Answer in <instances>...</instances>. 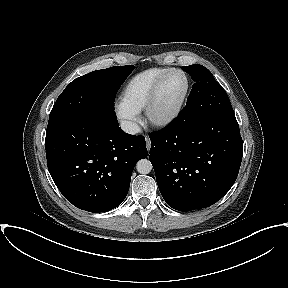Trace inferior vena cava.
I'll use <instances>...</instances> for the list:
<instances>
[{"label": "inferior vena cava", "mask_w": 288, "mask_h": 288, "mask_svg": "<svg viewBox=\"0 0 288 288\" xmlns=\"http://www.w3.org/2000/svg\"><path fill=\"white\" fill-rule=\"evenodd\" d=\"M120 127L122 128V130L130 134H137L138 132H140V127L138 126V124L132 121L122 120L120 123Z\"/></svg>", "instance_id": "inferior-vena-cava-1"}]
</instances>
